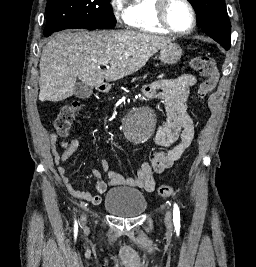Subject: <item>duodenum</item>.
Wrapping results in <instances>:
<instances>
[{"instance_id": "obj_1", "label": "duodenum", "mask_w": 256, "mask_h": 267, "mask_svg": "<svg viewBox=\"0 0 256 267\" xmlns=\"http://www.w3.org/2000/svg\"><path fill=\"white\" fill-rule=\"evenodd\" d=\"M116 79L115 78H110L109 81H98L97 85H98V92L99 94H108V90H111V85L112 83H115ZM143 87H151L152 83L151 82H143L142 83Z\"/></svg>"}]
</instances>
